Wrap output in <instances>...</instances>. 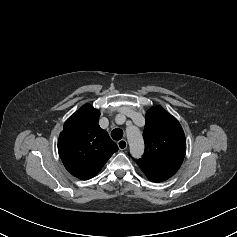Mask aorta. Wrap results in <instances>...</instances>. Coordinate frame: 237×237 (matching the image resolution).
<instances>
[{
	"label": "aorta",
	"instance_id": "aorta-1",
	"mask_svg": "<svg viewBox=\"0 0 237 237\" xmlns=\"http://www.w3.org/2000/svg\"><path fill=\"white\" fill-rule=\"evenodd\" d=\"M130 153L134 158H140L144 153V140L140 130L135 126L126 129Z\"/></svg>",
	"mask_w": 237,
	"mask_h": 237
}]
</instances>
